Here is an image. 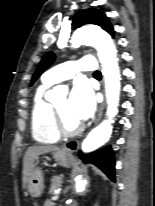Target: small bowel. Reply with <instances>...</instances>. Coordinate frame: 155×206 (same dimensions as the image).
I'll list each match as a JSON object with an SVG mask.
<instances>
[{"label":"small bowel","instance_id":"c3829d8e","mask_svg":"<svg viewBox=\"0 0 155 206\" xmlns=\"http://www.w3.org/2000/svg\"><path fill=\"white\" fill-rule=\"evenodd\" d=\"M46 206H52L51 204H47Z\"/></svg>","mask_w":155,"mask_h":206}]
</instances>
